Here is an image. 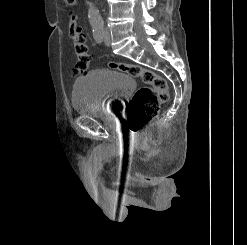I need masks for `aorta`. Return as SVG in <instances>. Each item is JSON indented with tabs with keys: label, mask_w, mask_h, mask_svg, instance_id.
Masks as SVG:
<instances>
[{
	"label": "aorta",
	"mask_w": 247,
	"mask_h": 245,
	"mask_svg": "<svg viewBox=\"0 0 247 245\" xmlns=\"http://www.w3.org/2000/svg\"><path fill=\"white\" fill-rule=\"evenodd\" d=\"M88 18L92 25H101L103 23V19L99 13V10L92 2L89 3Z\"/></svg>",
	"instance_id": "obj_1"
}]
</instances>
